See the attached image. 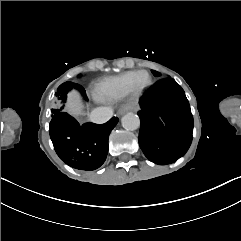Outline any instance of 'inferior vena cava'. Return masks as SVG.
<instances>
[{"instance_id":"1","label":"inferior vena cava","mask_w":241,"mask_h":241,"mask_svg":"<svg viewBox=\"0 0 241 241\" xmlns=\"http://www.w3.org/2000/svg\"><path fill=\"white\" fill-rule=\"evenodd\" d=\"M113 116V110L110 107H97L90 113V121L97 124L107 122Z\"/></svg>"}]
</instances>
